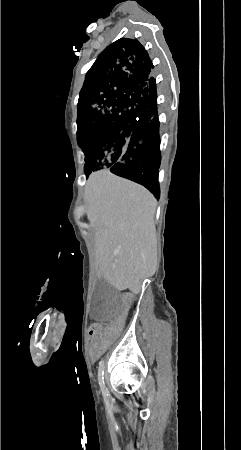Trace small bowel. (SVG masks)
I'll use <instances>...</instances> for the list:
<instances>
[{
	"label": "small bowel",
	"instance_id": "c3829d8e",
	"mask_svg": "<svg viewBox=\"0 0 241 450\" xmlns=\"http://www.w3.org/2000/svg\"><path fill=\"white\" fill-rule=\"evenodd\" d=\"M121 307L123 308V309H128L129 307H130V302L128 301V300H123L122 302H121ZM119 316L121 317V318H124L125 316H126V313L124 312V311H121L120 313H119ZM95 327L98 325L96 322L93 324ZM116 327V328H115ZM115 327H112V328H110L109 329V334L111 335V336H109L108 338H107V341L109 342V343H114L115 342V335H117V333H118V330L117 329H122L123 327H124V322L122 321V320H117L116 322H115ZM97 329L96 328H94V327H90V328H88V330H87V333H88V335H90V336H94V335H96L97 334ZM102 350H103V347H101V346H96V345H93L92 347H91V349H90V355H91V357L93 358V359H96V358H98L100 355H101V353H102Z\"/></svg>",
	"mask_w": 241,
	"mask_h": 450
}]
</instances>
